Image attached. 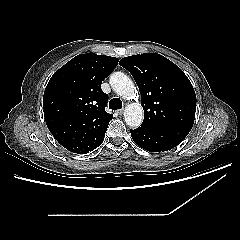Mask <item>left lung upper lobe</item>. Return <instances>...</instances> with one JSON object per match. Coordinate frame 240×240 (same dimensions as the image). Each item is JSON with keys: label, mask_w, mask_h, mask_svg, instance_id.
I'll return each instance as SVG.
<instances>
[{"label": "left lung upper lobe", "mask_w": 240, "mask_h": 240, "mask_svg": "<svg viewBox=\"0 0 240 240\" xmlns=\"http://www.w3.org/2000/svg\"><path fill=\"white\" fill-rule=\"evenodd\" d=\"M119 64L132 74L139 87L144 109L141 127L191 130L196 94L177 65L156 53L125 57Z\"/></svg>", "instance_id": "left-lung-upper-lobe-1"}]
</instances>
